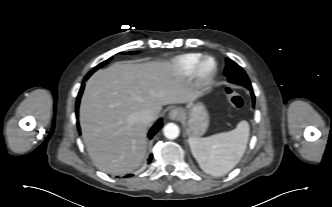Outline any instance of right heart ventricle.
<instances>
[{
	"label": "right heart ventricle",
	"mask_w": 332,
	"mask_h": 207,
	"mask_svg": "<svg viewBox=\"0 0 332 207\" xmlns=\"http://www.w3.org/2000/svg\"><path fill=\"white\" fill-rule=\"evenodd\" d=\"M201 57V53L179 55L170 61L169 66L176 74L185 76L193 72L196 63Z\"/></svg>",
	"instance_id": "obj_1"
}]
</instances>
